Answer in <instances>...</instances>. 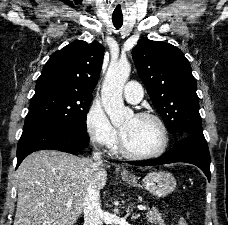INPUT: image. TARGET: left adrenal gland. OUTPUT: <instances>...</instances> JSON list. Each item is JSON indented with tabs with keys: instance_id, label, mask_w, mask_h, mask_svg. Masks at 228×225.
Instances as JSON below:
<instances>
[{
	"instance_id": "a2214340",
	"label": "left adrenal gland",
	"mask_w": 228,
	"mask_h": 225,
	"mask_svg": "<svg viewBox=\"0 0 228 225\" xmlns=\"http://www.w3.org/2000/svg\"><path fill=\"white\" fill-rule=\"evenodd\" d=\"M133 209L131 207V211H129L128 209V215H130V213H132ZM138 217H140V215H133V217H131V219H138Z\"/></svg>"
}]
</instances>
